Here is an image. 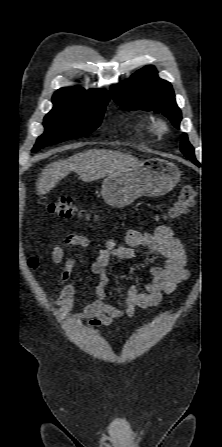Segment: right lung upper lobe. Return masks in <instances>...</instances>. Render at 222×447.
Returning <instances> with one entry per match:
<instances>
[{
    "mask_svg": "<svg viewBox=\"0 0 222 447\" xmlns=\"http://www.w3.org/2000/svg\"><path fill=\"white\" fill-rule=\"evenodd\" d=\"M54 95H65L70 97H76L81 99H89V98H110L109 93L104 89H89L85 90L80 87H72V88H61L57 90Z\"/></svg>",
    "mask_w": 222,
    "mask_h": 447,
    "instance_id": "right-lung-upper-lobe-1",
    "label": "right lung upper lobe"
}]
</instances>
